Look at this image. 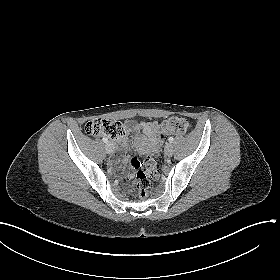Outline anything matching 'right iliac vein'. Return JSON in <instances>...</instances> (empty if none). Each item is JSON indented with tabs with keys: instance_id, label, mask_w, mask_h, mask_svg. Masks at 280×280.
<instances>
[{
	"instance_id": "right-iliac-vein-1",
	"label": "right iliac vein",
	"mask_w": 280,
	"mask_h": 280,
	"mask_svg": "<svg viewBox=\"0 0 280 280\" xmlns=\"http://www.w3.org/2000/svg\"><path fill=\"white\" fill-rule=\"evenodd\" d=\"M106 152H107L108 154H113V152H114V146H113V144H112L111 142H108V143L106 144Z\"/></svg>"
}]
</instances>
